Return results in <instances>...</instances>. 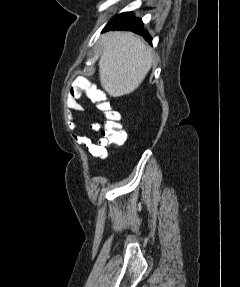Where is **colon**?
<instances>
[{"label":"colon","mask_w":240,"mask_h":287,"mask_svg":"<svg viewBox=\"0 0 240 287\" xmlns=\"http://www.w3.org/2000/svg\"><path fill=\"white\" fill-rule=\"evenodd\" d=\"M90 98L105 113L106 122L102 136L107 144L121 145L126 140V133L120 123L121 115L114 110L109 101L98 91H90Z\"/></svg>","instance_id":"colon-1"}]
</instances>
